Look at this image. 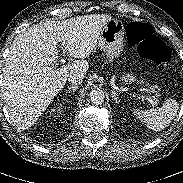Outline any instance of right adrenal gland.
<instances>
[{"label":"right adrenal gland","instance_id":"obj_1","mask_svg":"<svg viewBox=\"0 0 183 183\" xmlns=\"http://www.w3.org/2000/svg\"><path fill=\"white\" fill-rule=\"evenodd\" d=\"M69 90H67L68 93H75V91L77 90V86H70L68 87Z\"/></svg>","mask_w":183,"mask_h":183}]
</instances>
